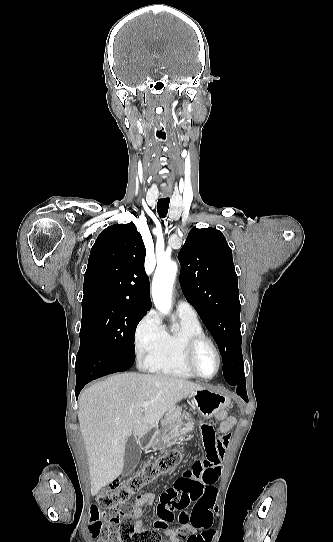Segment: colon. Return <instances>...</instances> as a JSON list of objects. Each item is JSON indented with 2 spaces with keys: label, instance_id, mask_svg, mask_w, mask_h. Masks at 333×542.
I'll return each instance as SVG.
<instances>
[{
  "label": "colon",
  "instance_id": "colon-1",
  "mask_svg": "<svg viewBox=\"0 0 333 542\" xmlns=\"http://www.w3.org/2000/svg\"><path fill=\"white\" fill-rule=\"evenodd\" d=\"M182 460V453L171 450L154 462L144 464L141 469L122 480L112 481L97 496L95 508L90 514V530L99 540H117L120 526L122 542H162L157 531H136L132 522L133 503L128 502L140 488L148 485L158 476L173 472ZM192 469L184 472V479L172 483L170 489H163L156 506L154 525L166 528L174 522L175 516L182 525H213L217 518L213 511L216 491L212 482L221 472L215 458H195ZM195 477V480H192ZM202 481L207 483H202ZM128 502V503H126ZM200 502L202 505H196ZM124 506V507H121ZM101 512L105 513L100 514Z\"/></svg>",
  "mask_w": 333,
  "mask_h": 542
}]
</instances>
